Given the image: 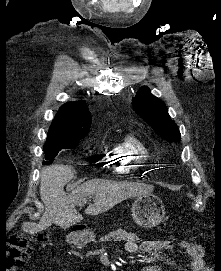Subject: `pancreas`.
I'll return each mask as SVG.
<instances>
[{
    "instance_id": "1",
    "label": "pancreas",
    "mask_w": 221,
    "mask_h": 271,
    "mask_svg": "<svg viewBox=\"0 0 221 271\" xmlns=\"http://www.w3.org/2000/svg\"><path fill=\"white\" fill-rule=\"evenodd\" d=\"M98 240L100 242H140V237H128V233L124 229H115V231H109L105 237H100Z\"/></svg>"
}]
</instances>
